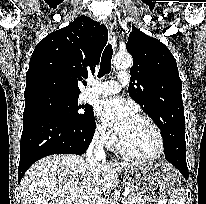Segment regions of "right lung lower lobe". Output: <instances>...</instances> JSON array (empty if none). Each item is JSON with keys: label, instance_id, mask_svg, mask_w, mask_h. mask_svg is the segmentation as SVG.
<instances>
[{"label": "right lung lower lobe", "instance_id": "right-lung-lower-lobe-1", "mask_svg": "<svg viewBox=\"0 0 206 204\" xmlns=\"http://www.w3.org/2000/svg\"><path fill=\"white\" fill-rule=\"evenodd\" d=\"M94 116L83 121L67 119L49 109L23 113L18 182L37 160L52 154H84L93 138Z\"/></svg>", "mask_w": 206, "mask_h": 204}]
</instances>
